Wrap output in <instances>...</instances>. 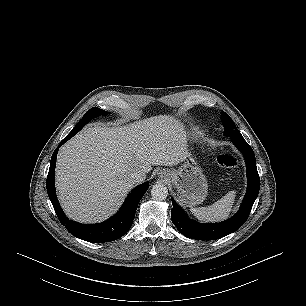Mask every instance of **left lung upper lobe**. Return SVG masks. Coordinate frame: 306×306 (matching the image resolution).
Returning <instances> with one entry per match:
<instances>
[{
	"instance_id": "left-lung-upper-lobe-1",
	"label": "left lung upper lobe",
	"mask_w": 306,
	"mask_h": 306,
	"mask_svg": "<svg viewBox=\"0 0 306 306\" xmlns=\"http://www.w3.org/2000/svg\"><path fill=\"white\" fill-rule=\"evenodd\" d=\"M222 122L225 126V135L231 138H243L233 120L225 112L222 113Z\"/></svg>"
}]
</instances>
